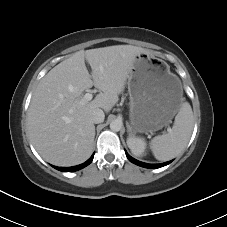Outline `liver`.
<instances>
[{
  "instance_id": "obj_1",
  "label": "liver",
  "mask_w": 227,
  "mask_h": 227,
  "mask_svg": "<svg viewBox=\"0 0 227 227\" xmlns=\"http://www.w3.org/2000/svg\"><path fill=\"white\" fill-rule=\"evenodd\" d=\"M143 52L148 51L132 45L81 50L40 80L27 121L31 142L44 160L57 166H73L90 157L95 137L93 110L109 112L115 106L135 57ZM92 86L100 94L81 104L82 93Z\"/></svg>"
}]
</instances>
